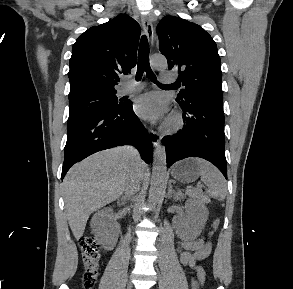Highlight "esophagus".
<instances>
[{"label":"esophagus","mask_w":293,"mask_h":289,"mask_svg":"<svg viewBox=\"0 0 293 289\" xmlns=\"http://www.w3.org/2000/svg\"><path fill=\"white\" fill-rule=\"evenodd\" d=\"M141 22L150 45H153L154 31L151 19L149 17L143 16ZM149 137L154 146H158L160 144L161 137L151 128L149 129Z\"/></svg>","instance_id":"34e87169"}]
</instances>
